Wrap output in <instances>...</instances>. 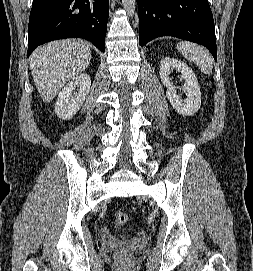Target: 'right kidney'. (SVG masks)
<instances>
[{
	"label": "right kidney",
	"instance_id": "ca27d5eb",
	"mask_svg": "<svg viewBox=\"0 0 253 271\" xmlns=\"http://www.w3.org/2000/svg\"><path fill=\"white\" fill-rule=\"evenodd\" d=\"M90 85L91 79L87 74H80L67 83L62 91L59 92L55 103L57 116L62 119L72 118L85 101Z\"/></svg>",
	"mask_w": 253,
	"mask_h": 271
}]
</instances>
